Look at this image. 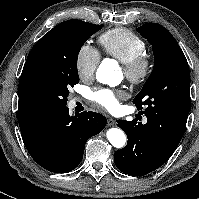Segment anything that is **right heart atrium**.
Wrapping results in <instances>:
<instances>
[{
  "instance_id": "obj_1",
  "label": "right heart atrium",
  "mask_w": 199,
  "mask_h": 199,
  "mask_svg": "<svg viewBox=\"0 0 199 199\" xmlns=\"http://www.w3.org/2000/svg\"><path fill=\"white\" fill-rule=\"evenodd\" d=\"M100 62L99 52L89 44H83L76 57V70L81 79L94 75Z\"/></svg>"
}]
</instances>
